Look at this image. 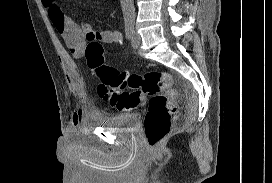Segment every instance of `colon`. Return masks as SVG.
<instances>
[{
    "label": "colon",
    "mask_w": 272,
    "mask_h": 183,
    "mask_svg": "<svg viewBox=\"0 0 272 183\" xmlns=\"http://www.w3.org/2000/svg\"><path fill=\"white\" fill-rule=\"evenodd\" d=\"M103 46L89 42L85 48L87 66L98 81L97 91L103 100L119 111L141 106L150 97L144 129L150 146L158 145L170 132L177 115L178 93L167 72L149 71L143 75L120 72L104 63Z\"/></svg>",
    "instance_id": "1"
}]
</instances>
